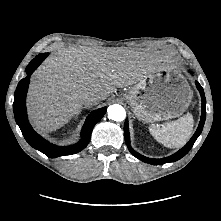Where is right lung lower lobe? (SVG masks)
Masks as SVG:
<instances>
[{
  "mask_svg": "<svg viewBox=\"0 0 221 221\" xmlns=\"http://www.w3.org/2000/svg\"><path fill=\"white\" fill-rule=\"evenodd\" d=\"M48 54L49 53L39 54L26 67L27 76L18 83V86L14 94L13 111L16 122L19 125L21 132L24 138L26 139V141L33 148L41 151L48 157L56 158L59 156L72 155L84 149L89 143L90 136L95 124L101 120V118L106 113L107 108L103 107L89 114L81 130L82 138L75 145L64 146V147L56 146L49 143L39 134H37L28 122L25 100L30 81V75L43 62V60L48 56Z\"/></svg>",
  "mask_w": 221,
  "mask_h": 221,
  "instance_id": "obj_1",
  "label": "right lung lower lobe"
}]
</instances>
